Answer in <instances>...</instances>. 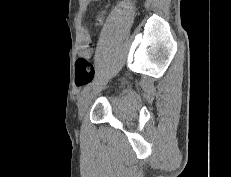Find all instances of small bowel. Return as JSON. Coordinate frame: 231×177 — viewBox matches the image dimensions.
Here are the masks:
<instances>
[{
	"label": "small bowel",
	"instance_id": "c3829d8e",
	"mask_svg": "<svg viewBox=\"0 0 231 177\" xmlns=\"http://www.w3.org/2000/svg\"><path fill=\"white\" fill-rule=\"evenodd\" d=\"M86 1H87V3H90L93 0H86ZM103 21H104L103 16H99L96 20V23H97V25H101V24H103ZM83 36H84L85 43H84V45H82L79 48V51L84 56L90 57L93 54V47H92V44H91L90 39H89L88 31L85 29L83 30Z\"/></svg>",
	"mask_w": 231,
	"mask_h": 177
}]
</instances>
